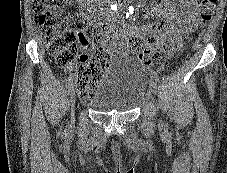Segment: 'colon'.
I'll use <instances>...</instances> for the list:
<instances>
[{
  "label": "colon",
  "instance_id": "colon-1",
  "mask_svg": "<svg viewBox=\"0 0 227 173\" xmlns=\"http://www.w3.org/2000/svg\"><path fill=\"white\" fill-rule=\"evenodd\" d=\"M216 2L200 0L199 15L202 22L211 20ZM64 3L65 0H32L35 23L49 53L60 68L71 70L78 63L76 85L79 94L89 98L109 59L103 47L92 53L91 45L111 35L115 27L102 20L71 14L64 10ZM166 44L161 35H152L147 39L135 37L130 41L132 51L147 66H153L161 60V52Z\"/></svg>",
  "mask_w": 227,
  "mask_h": 173
}]
</instances>
